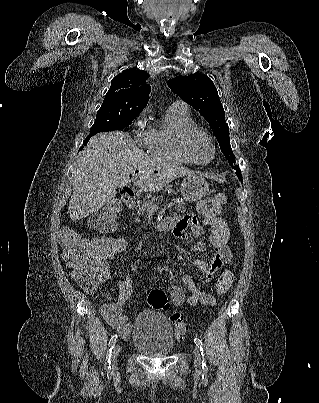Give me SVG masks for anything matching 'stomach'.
Returning <instances> with one entry per match:
<instances>
[{
	"label": "stomach",
	"instance_id": "1",
	"mask_svg": "<svg viewBox=\"0 0 319 403\" xmlns=\"http://www.w3.org/2000/svg\"><path fill=\"white\" fill-rule=\"evenodd\" d=\"M181 194L187 202H198L209 193L207 181L196 175H188L181 183Z\"/></svg>",
	"mask_w": 319,
	"mask_h": 403
}]
</instances>
